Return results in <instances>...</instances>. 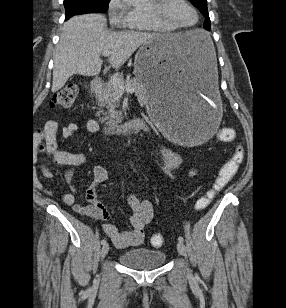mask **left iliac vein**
<instances>
[{"label": "left iliac vein", "mask_w": 286, "mask_h": 308, "mask_svg": "<svg viewBox=\"0 0 286 308\" xmlns=\"http://www.w3.org/2000/svg\"><path fill=\"white\" fill-rule=\"evenodd\" d=\"M177 250H178L180 255L186 257V247H185V244L183 242L179 241L177 243Z\"/></svg>", "instance_id": "left-iliac-vein-1"}]
</instances>
